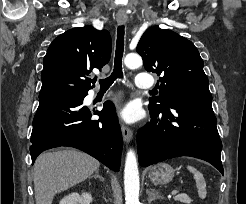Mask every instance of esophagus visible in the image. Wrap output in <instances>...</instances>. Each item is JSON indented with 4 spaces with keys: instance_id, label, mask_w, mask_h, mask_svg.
Returning <instances> with one entry per match:
<instances>
[{
    "instance_id": "34e87169",
    "label": "esophagus",
    "mask_w": 246,
    "mask_h": 204,
    "mask_svg": "<svg viewBox=\"0 0 246 204\" xmlns=\"http://www.w3.org/2000/svg\"><path fill=\"white\" fill-rule=\"evenodd\" d=\"M126 21H127L126 15H124V14L117 15L118 24L122 25V24L126 23ZM121 132H122V136H123L124 141L126 143H129L133 138V132H132L131 128H129L124 123H122L121 124Z\"/></svg>"
}]
</instances>
